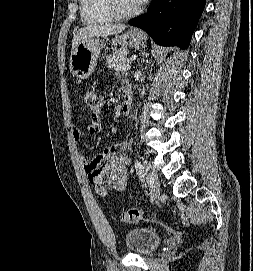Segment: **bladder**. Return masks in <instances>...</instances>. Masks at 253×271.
<instances>
[{"instance_id":"obj_1","label":"bladder","mask_w":253,"mask_h":271,"mask_svg":"<svg viewBox=\"0 0 253 271\" xmlns=\"http://www.w3.org/2000/svg\"><path fill=\"white\" fill-rule=\"evenodd\" d=\"M126 249L135 255H148L162 244L161 235L145 226L130 229L124 236Z\"/></svg>"}]
</instances>
